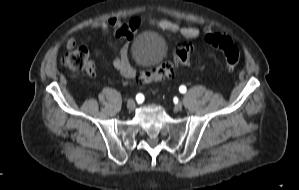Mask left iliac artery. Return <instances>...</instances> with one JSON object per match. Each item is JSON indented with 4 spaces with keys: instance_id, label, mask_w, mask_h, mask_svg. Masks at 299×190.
<instances>
[{
    "instance_id": "obj_1",
    "label": "left iliac artery",
    "mask_w": 299,
    "mask_h": 190,
    "mask_svg": "<svg viewBox=\"0 0 299 190\" xmlns=\"http://www.w3.org/2000/svg\"><path fill=\"white\" fill-rule=\"evenodd\" d=\"M186 87L184 86V85H181L180 87H179V91L181 92V93H185L186 92Z\"/></svg>"
}]
</instances>
